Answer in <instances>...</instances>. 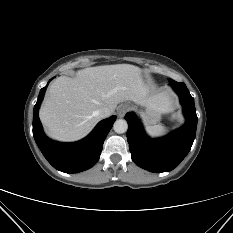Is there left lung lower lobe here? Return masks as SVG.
Segmentation results:
<instances>
[{"mask_svg": "<svg viewBox=\"0 0 233 233\" xmlns=\"http://www.w3.org/2000/svg\"><path fill=\"white\" fill-rule=\"evenodd\" d=\"M183 106L186 123L171 134L150 139L144 133L142 124L134 113H127V140L132 160L141 168L154 173L173 170L185 158L191 149L196 135L197 115L194 98L184 83L170 80Z\"/></svg>", "mask_w": 233, "mask_h": 233, "instance_id": "obj_1", "label": "left lung lower lobe"}]
</instances>
